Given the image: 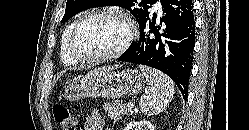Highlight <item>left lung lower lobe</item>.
I'll return each instance as SVG.
<instances>
[{"label":"left lung lower lobe","mask_w":249,"mask_h":130,"mask_svg":"<svg viewBox=\"0 0 249 130\" xmlns=\"http://www.w3.org/2000/svg\"><path fill=\"white\" fill-rule=\"evenodd\" d=\"M164 16L156 13L140 26V38L118 59L147 65L167 74L178 86L184 100L192 68L195 43L194 9L191 0H161Z\"/></svg>","instance_id":"obj_1"}]
</instances>
